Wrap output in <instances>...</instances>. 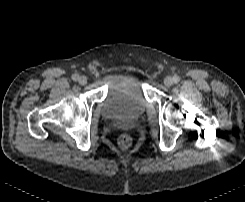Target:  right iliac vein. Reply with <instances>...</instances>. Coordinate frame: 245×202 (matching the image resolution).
<instances>
[{
    "mask_svg": "<svg viewBox=\"0 0 245 202\" xmlns=\"http://www.w3.org/2000/svg\"><path fill=\"white\" fill-rule=\"evenodd\" d=\"M78 82L80 85H85L87 83V77L86 76H80L78 79Z\"/></svg>",
    "mask_w": 245,
    "mask_h": 202,
    "instance_id": "63e3f726",
    "label": "right iliac vein"
}]
</instances>
